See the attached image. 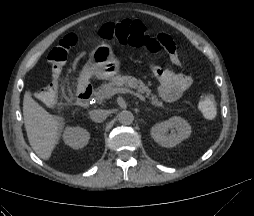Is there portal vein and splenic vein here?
I'll return each mask as SVG.
<instances>
[{
	"mask_svg": "<svg viewBox=\"0 0 254 216\" xmlns=\"http://www.w3.org/2000/svg\"><path fill=\"white\" fill-rule=\"evenodd\" d=\"M119 93H129V94L134 95L135 97L139 98L141 101L146 102L145 98L141 94H139L135 91L126 89V88L109 89V90H107L105 96H106V98H110V97L114 96L115 94H119Z\"/></svg>",
	"mask_w": 254,
	"mask_h": 216,
	"instance_id": "1",
	"label": "portal vein and splenic vein"
}]
</instances>
